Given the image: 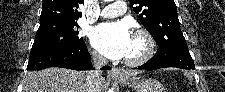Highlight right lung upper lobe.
I'll list each match as a JSON object with an SVG mask.
<instances>
[{"mask_svg": "<svg viewBox=\"0 0 225 92\" xmlns=\"http://www.w3.org/2000/svg\"><path fill=\"white\" fill-rule=\"evenodd\" d=\"M84 0H43L40 24L48 22H76L82 13L78 8Z\"/></svg>", "mask_w": 225, "mask_h": 92, "instance_id": "cb5924a9", "label": "right lung upper lobe"}]
</instances>
